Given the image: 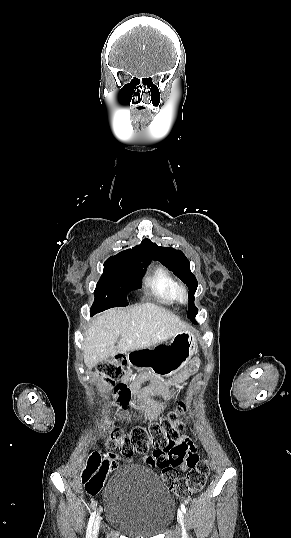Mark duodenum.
<instances>
[{
    "instance_id": "1",
    "label": "duodenum",
    "mask_w": 291,
    "mask_h": 538,
    "mask_svg": "<svg viewBox=\"0 0 291 538\" xmlns=\"http://www.w3.org/2000/svg\"><path fill=\"white\" fill-rule=\"evenodd\" d=\"M139 354H140V351H138V350L133 351V352L131 353V355H139Z\"/></svg>"
}]
</instances>
